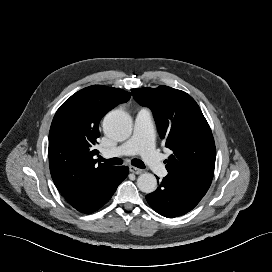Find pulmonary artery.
I'll use <instances>...</instances> for the list:
<instances>
[{"instance_id":"pulmonary-artery-1","label":"pulmonary artery","mask_w":272,"mask_h":272,"mask_svg":"<svg viewBox=\"0 0 272 272\" xmlns=\"http://www.w3.org/2000/svg\"><path fill=\"white\" fill-rule=\"evenodd\" d=\"M136 153L142 155L155 175L163 177L167 174L166 167L155 150L153 119L147 109H141L137 112L133 134L128 141L115 148L102 151L105 157L133 155Z\"/></svg>"}]
</instances>
